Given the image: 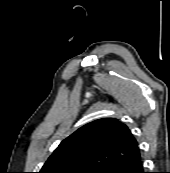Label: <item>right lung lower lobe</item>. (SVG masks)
Masks as SVG:
<instances>
[{
  "instance_id": "obj_1",
  "label": "right lung lower lobe",
  "mask_w": 170,
  "mask_h": 173,
  "mask_svg": "<svg viewBox=\"0 0 170 173\" xmlns=\"http://www.w3.org/2000/svg\"><path fill=\"white\" fill-rule=\"evenodd\" d=\"M102 173H145L140 152L133 157L112 165Z\"/></svg>"
}]
</instances>
